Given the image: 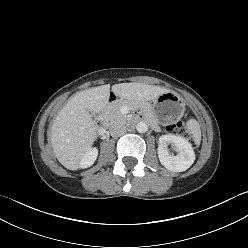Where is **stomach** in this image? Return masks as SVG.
Masks as SVG:
<instances>
[{"instance_id": "1", "label": "stomach", "mask_w": 248, "mask_h": 248, "mask_svg": "<svg viewBox=\"0 0 248 248\" xmlns=\"http://www.w3.org/2000/svg\"><path fill=\"white\" fill-rule=\"evenodd\" d=\"M148 111L152 113L160 123H172L183 115L184 102L178 94L167 91L153 100L152 105L148 107Z\"/></svg>"}]
</instances>
